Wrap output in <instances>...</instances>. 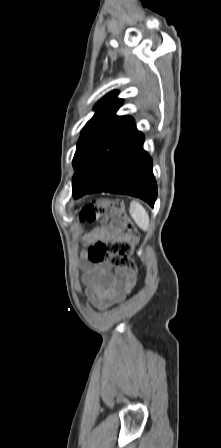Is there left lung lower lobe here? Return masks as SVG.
Masks as SVG:
<instances>
[{
	"label": "left lung lower lobe",
	"instance_id": "0a47b994",
	"mask_svg": "<svg viewBox=\"0 0 221 448\" xmlns=\"http://www.w3.org/2000/svg\"><path fill=\"white\" fill-rule=\"evenodd\" d=\"M144 136L138 132L92 166L78 169L73 176L72 194L110 192L136 196L154 206L157 185L152 159L143 150Z\"/></svg>",
	"mask_w": 221,
	"mask_h": 448
}]
</instances>
